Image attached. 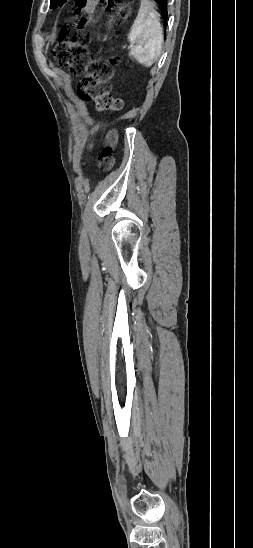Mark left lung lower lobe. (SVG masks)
Returning a JSON list of instances; mask_svg holds the SVG:
<instances>
[{"instance_id":"left-lung-lower-lobe-1","label":"left lung lower lobe","mask_w":253,"mask_h":548,"mask_svg":"<svg viewBox=\"0 0 253 548\" xmlns=\"http://www.w3.org/2000/svg\"><path fill=\"white\" fill-rule=\"evenodd\" d=\"M67 0H61L55 7H51V8H56L57 6H61L63 3H65ZM158 7L161 9L162 13H163V16H164V19L167 18V0H154ZM164 26H166V24H164Z\"/></svg>"}]
</instances>
